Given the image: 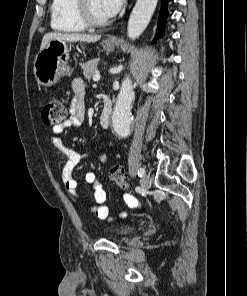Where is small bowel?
<instances>
[{
  "label": "small bowel",
  "instance_id": "c3829d8e",
  "mask_svg": "<svg viewBox=\"0 0 247 296\" xmlns=\"http://www.w3.org/2000/svg\"><path fill=\"white\" fill-rule=\"evenodd\" d=\"M73 91V98L70 105V111L68 117L59 125L52 128L50 133V140L56 149V155L61 157L65 155L67 161L62 168V181L64 187L68 193H70L74 198L82 201V197L78 192V183L73 177L72 173L74 168L82 162L84 159L90 157L91 153H83L72 150L64 145L60 134L65 129L79 128L83 125L84 115H85V103L84 96L86 92V86L81 79H74L71 84ZM97 157L104 161V156L97 155ZM85 181L88 184L93 185V195L92 203L88 206L89 210L93 212L97 218L101 220H106L109 218V209L105 205L106 202V191L103 189L102 185L99 183L98 178L95 173L89 172L85 175ZM125 204L129 207L139 206L138 201L129 194L124 193L122 195ZM125 216V214H121Z\"/></svg>",
  "mask_w": 247,
  "mask_h": 296
}]
</instances>
